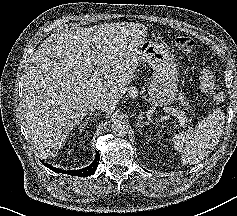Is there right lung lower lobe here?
<instances>
[{"label":"right lung lower lobe","mask_w":237,"mask_h":216,"mask_svg":"<svg viewBox=\"0 0 237 216\" xmlns=\"http://www.w3.org/2000/svg\"><path fill=\"white\" fill-rule=\"evenodd\" d=\"M99 159H100V155L96 151L95 159L88 167L83 168V169H79V170H73V171L61 170V169L55 168V167H53V166H51L47 163H44L43 161H41V162L47 168H49L50 170H52L54 172H57V173H65V174L79 176V177H87V176L92 175L96 171L98 163H99Z\"/></svg>","instance_id":"1"}]
</instances>
